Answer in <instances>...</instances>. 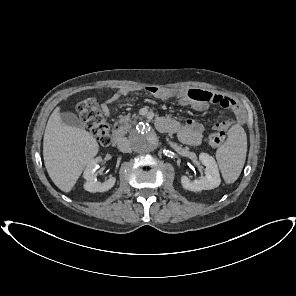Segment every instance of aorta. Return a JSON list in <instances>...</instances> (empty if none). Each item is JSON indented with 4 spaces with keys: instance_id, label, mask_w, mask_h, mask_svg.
I'll return each mask as SVG.
<instances>
[{
    "instance_id": "aorta-1",
    "label": "aorta",
    "mask_w": 296,
    "mask_h": 296,
    "mask_svg": "<svg viewBox=\"0 0 296 296\" xmlns=\"http://www.w3.org/2000/svg\"><path fill=\"white\" fill-rule=\"evenodd\" d=\"M132 149L141 154L154 151L159 145V136L146 123H141L131 132L129 136Z\"/></svg>"
}]
</instances>
